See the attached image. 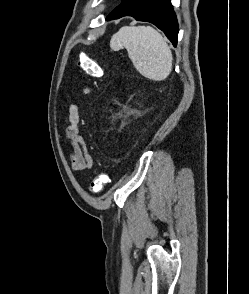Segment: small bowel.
Wrapping results in <instances>:
<instances>
[{
  "label": "small bowel",
  "instance_id": "obj_1",
  "mask_svg": "<svg viewBox=\"0 0 249 294\" xmlns=\"http://www.w3.org/2000/svg\"><path fill=\"white\" fill-rule=\"evenodd\" d=\"M90 92L89 88L83 89L84 94H89ZM68 112L69 125L65 129V138L71 143V150L69 152L71 167L75 171L90 170L93 167L94 161L85 139L79 135L80 108L76 104H70Z\"/></svg>",
  "mask_w": 249,
  "mask_h": 294
}]
</instances>
